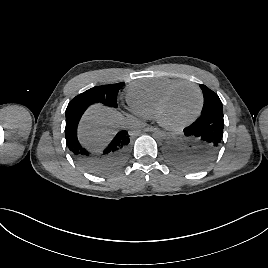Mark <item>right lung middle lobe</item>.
<instances>
[{
	"mask_svg": "<svg viewBox=\"0 0 268 268\" xmlns=\"http://www.w3.org/2000/svg\"><path fill=\"white\" fill-rule=\"evenodd\" d=\"M123 84L117 83L93 87L73 98L68 106L77 103H102L110 107H117L116 97Z\"/></svg>",
	"mask_w": 268,
	"mask_h": 268,
	"instance_id": "dd1d6c3e",
	"label": "right lung middle lobe"
}]
</instances>
